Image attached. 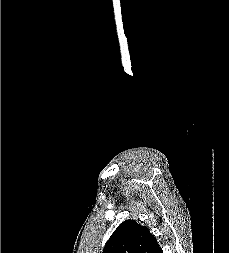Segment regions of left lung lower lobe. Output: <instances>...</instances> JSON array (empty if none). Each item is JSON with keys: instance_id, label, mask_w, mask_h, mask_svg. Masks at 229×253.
<instances>
[{"instance_id": "obj_1", "label": "left lung lower lobe", "mask_w": 229, "mask_h": 253, "mask_svg": "<svg viewBox=\"0 0 229 253\" xmlns=\"http://www.w3.org/2000/svg\"><path fill=\"white\" fill-rule=\"evenodd\" d=\"M156 253H163L160 247L157 249Z\"/></svg>"}]
</instances>
